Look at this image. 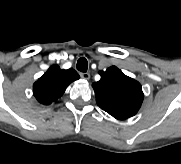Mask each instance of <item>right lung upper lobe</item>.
<instances>
[{
  "mask_svg": "<svg viewBox=\"0 0 181 164\" xmlns=\"http://www.w3.org/2000/svg\"><path fill=\"white\" fill-rule=\"evenodd\" d=\"M80 76L74 69L62 70L52 65L33 85L35 98L44 105H49L60 98L67 86Z\"/></svg>",
  "mask_w": 181,
  "mask_h": 164,
  "instance_id": "cb5924a9",
  "label": "right lung upper lobe"
}]
</instances>
